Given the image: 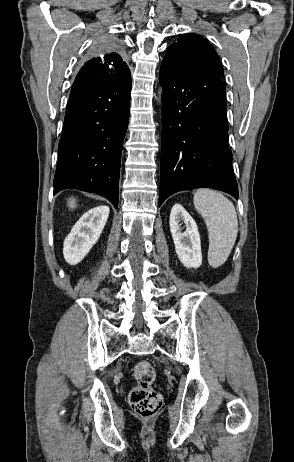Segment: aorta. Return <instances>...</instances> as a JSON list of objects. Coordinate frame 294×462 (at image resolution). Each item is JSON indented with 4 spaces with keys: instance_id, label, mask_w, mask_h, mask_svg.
<instances>
[{
    "instance_id": "762f6f07",
    "label": "aorta",
    "mask_w": 294,
    "mask_h": 462,
    "mask_svg": "<svg viewBox=\"0 0 294 462\" xmlns=\"http://www.w3.org/2000/svg\"><path fill=\"white\" fill-rule=\"evenodd\" d=\"M162 89L160 90L159 94L161 95Z\"/></svg>"
}]
</instances>
